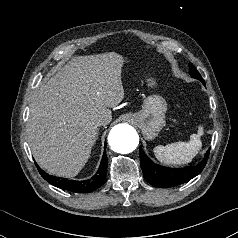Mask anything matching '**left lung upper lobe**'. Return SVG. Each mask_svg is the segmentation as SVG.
<instances>
[{
	"instance_id": "1",
	"label": "left lung upper lobe",
	"mask_w": 238,
	"mask_h": 238,
	"mask_svg": "<svg viewBox=\"0 0 238 238\" xmlns=\"http://www.w3.org/2000/svg\"><path fill=\"white\" fill-rule=\"evenodd\" d=\"M189 69H190L191 76L193 78L200 80L203 83V85H205L203 78L201 77L200 73L196 70V68L193 66L192 63L189 64Z\"/></svg>"
}]
</instances>
